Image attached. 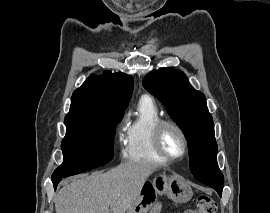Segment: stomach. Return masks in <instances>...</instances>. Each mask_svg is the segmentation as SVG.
I'll return each mask as SVG.
<instances>
[{"label": "stomach", "mask_w": 270, "mask_h": 213, "mask_svg": "<svg viewBox=\"0 0 270 213\" xmlns=\"http://www.w3.org/2000/svg\"><path fill=\"white\" fill-rule=\"evenodd\" d=\"M157 195H166L176 203H185L191 199L193 192L183 178L159 168L152 181L143 185L138 198L127 213H148Z\"/></svg>", "instance_id": "obj_1"}]
</instances>
